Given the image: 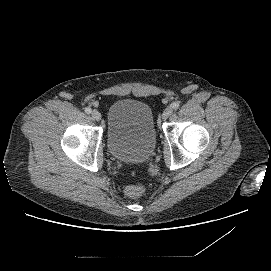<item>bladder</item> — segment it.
<instances>
[{
  "label": "bladder",
  "mask_w": 271,
  "mask_h": 271,
  "mask_svg": "<svg viewBox=\"0 0 271 271\" xmlns=\"http://www.w3.org/2000/svg\"><path fill=\"white\" fill-rule=\"evenodd\" d=\"M107 144L112 157L125 163L146 162L156 147L153 112L148 104L120 99L108 110Z\"/></svg>",
  "instance_id": "obj_1"
}]
</instances>
